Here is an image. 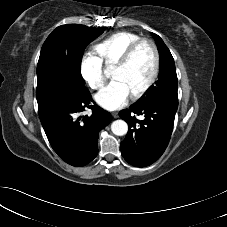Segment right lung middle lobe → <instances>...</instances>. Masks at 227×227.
Masks as SVG:
<instances>
[{"label":"right lung middle lobe","mask_w":227,"mask_h":227,"mask_svg":"<svg viewBox=\"0 0 227 227\" xmlns=\"http://www.w3.org/2000/svg\"><path fill=\"white\" fill-rule=\"evenodd\" d=\"M104 31L78 24L57 27L44 42L37 65V102L64 89L85 85L80 67L84 49Z\"/></svg>","instance_id":"dd1d6c3e"}]
</instances>
